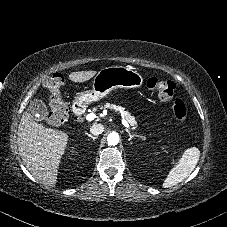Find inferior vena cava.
Listing matches in <instances>:
<instances>
[{"label": "inferior vena cava", "mask_w": 227, "mask_h": 227, "mask_svg": "<svg viewBox=\"0 0 227 227\" xmlns=\"http://www.w3.org/2000/svg\"><path fill=\"white\" fill-rule=\"evenodd\" d=\"M104 131V126L102 124H93L90 128V132L93 135H100Z\"/></svg>", "instance_id": "obj_1"}]
</instances>
